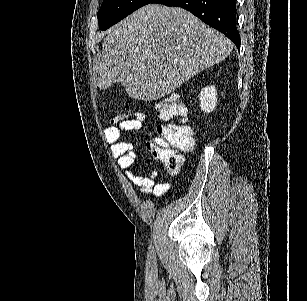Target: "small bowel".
Returning <instances> with one entry per match:
<instances>
[{"label": "small bowel", "mask_w": 307, "mask_h": 301, "mask_svg": "<svg viewBox=\"0 0 307 301\" xmlns=\"http://www.w3.org/2000/svg\"><path fill=\"white\" fill-rule=\"evenodd\" d=\"M141 122L127 120L118 125H110L104 130L107 143L114 158L117 159L118 166L125 171H129L130 179L138 186V192L142 196L152 195L154 198H161L169 189L166 182L156 183L158 173L155 171L150 176H141L132 171L135 164L136 155L131 143L121 140V133L124 130L139 129Z\"/></svg>", "instance_id": "small-bowel-1"}]
</instances>
